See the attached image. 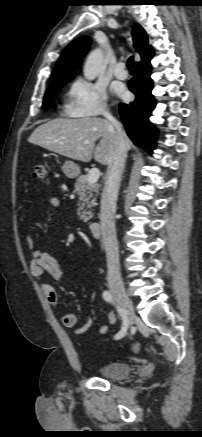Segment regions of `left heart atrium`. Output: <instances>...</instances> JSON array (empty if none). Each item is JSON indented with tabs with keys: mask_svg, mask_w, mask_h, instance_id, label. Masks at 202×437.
Instances as JSON below:
<instances>
[{
	"mask_svg": "<svg viewBox=\"0 0 202 437\" xmlns=\"http://www.w3.org/2000/svg\"><path fill=\"white\" fill-rule=\"evenodd\" d=\"M119 94L124 95V91H123V90H120V91H119Z\"/></svg>",
	"mask_w": 202,
	"mask_h": 437,
	"instance_id": "left-heart-atrium-1",
	"label": "left heart atrium"
}]
</instances>
